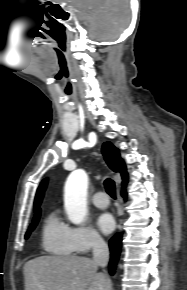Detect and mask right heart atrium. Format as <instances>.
<instances>
[{
  "label": "right heart atrium",
  "instance_id": "right-heart-atrium-1",
  "mask_svg": "<svg viewBox=\"0 0 187 290\" xmlns=\"http://www.w3.org/2000/svg\"><path fill=\"white\" fill-rule=\"evenodd\" d=\"M71 241L76 253L85 254L104 245V239L93 228L78 226L71 228Z\"/></svg>",
  "mask_w": 187,
  "mask_h": 290
}]
</instances>
